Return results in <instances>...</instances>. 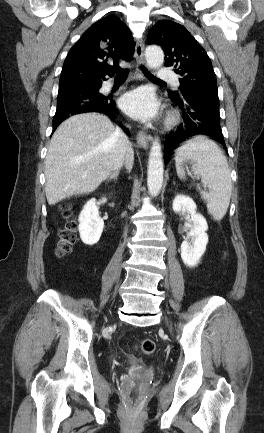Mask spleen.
<instances>
[{
	"mask_svg": "<svg viewBox=\"0 0 264 433\" xmlns=\"http://www.w3.org/2000/svg\"><path fill=\"white\" fill-rule=\"evenodd\" d=\"M189 161L195 174L201 176V181L209 187V192L198 186L202 198L207 202L208 212L220 221L227 212L232 182L230 169L225 155L220 147L205 136H196L186 141L176 150L175 164L177 175L185 179L183 163Z\"/></svg>",
	"mask_w": 264,
	"mask_h": 433,
	"instance_id": "spleen-1",
	"label": "spleen"
}]
</instances>
